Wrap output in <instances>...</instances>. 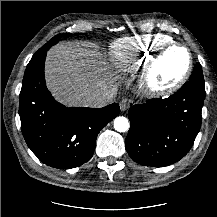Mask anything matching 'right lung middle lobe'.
<instances>
[{"label": "right lung middle lobe", "mask_w": 217, "mask_h": 217, "mask_svg": "<svg viewBox=\"0 0 217 217\" xmlns=\"http://www.w3.org/2000/svg\"><path fill=\"white\" fill-rule=\"evenodd\" d=\"M61 34H58L56 35L55 37H53L50 41H48L43 47H41L36 53L35 55L37 54H40L42 53L43 51L45 50H48L51 46L55 45L56 43H58L61 39Z\"/></svg>", "instance_id": "1"}]
</instances>
